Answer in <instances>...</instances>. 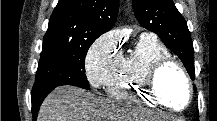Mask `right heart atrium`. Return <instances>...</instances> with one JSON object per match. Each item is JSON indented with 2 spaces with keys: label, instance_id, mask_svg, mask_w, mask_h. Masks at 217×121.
<instances>
[{
  "label": "right heart atrium",
  "instance_id": "1",
  "mask_svg": "<svg viewBox=\"0 0 217 121\" xmlns=\"http://www.w3.org/2000/svg\"><path fill=\"white\" fill-rule=\"evenodd\" d=\"M120 60L119 42L112 33H104L90 47L85 60L89 83L100 88L113 74Z\"/></svg>",
  "mask_w": 217,
  "mask_h": 121
}]
</instances>
